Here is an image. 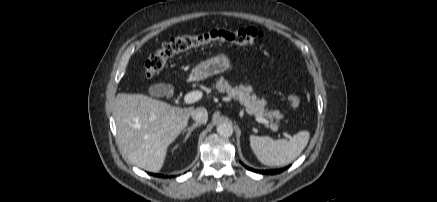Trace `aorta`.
<instances>
[{
	"label": "aorta",
	"instance_id": "762f6f07",
	"mask_svg": "<svg viewBox=\"0 0 437 202\" xmlns=\"http://www.w3.org/2000/svg\"><path fill=\"white\" fill-rule=\"evenodd\" d=\"M217 133L225 138L230 137L233 134V127L228 122L220 123L217 126Z\"/></svg>",
	"mask_w": 437,
	"mask_h": 202
}]
</instances>
